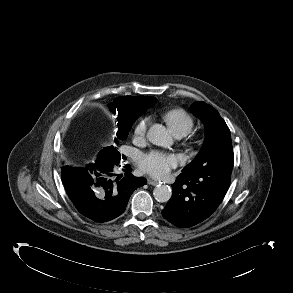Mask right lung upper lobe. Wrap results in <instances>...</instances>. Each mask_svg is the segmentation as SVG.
<instances>
[{
	"label": "right lung upper lobe",
	"instance_id": "obj_1",
	"mask_svg": "<svg viewBox=\"0 0 293 293\" xmlns=\"http://www.w3.org/2000/svg\"><path fill=\"white\" fill-rule=\"evenodd\" d=\"M155 97L146 96H122L115 99L114 103L109 105V109L117 114L118 125L121 122L130 119H137L148 108L156 103ZM108 152V148H105ZM108 155H112L108 152Z\"/></svg>",
	"mask_w": 293,
	"mask_h": 293
}]
</instances>
